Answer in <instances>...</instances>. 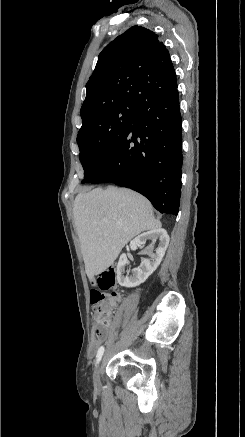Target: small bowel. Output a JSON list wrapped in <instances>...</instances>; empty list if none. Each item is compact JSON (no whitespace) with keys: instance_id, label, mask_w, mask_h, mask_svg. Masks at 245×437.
Returning a JSON list of instances; mask_svg holds the SVG:
<instances>
[{"instance_id":"obj_1","label":"small bowel","mask_w":245,"mask_h":437,"mask_svg":"<svg viewBox=\"0 0 245 437\" xmlns=\"http://www.w3.org/2000/svg\"><path fill=\"white\" fill-rule=\"evenodd\" d=\"M106 337H107V334L104 337H102V338H96V337L93 336L92 346L96 347Z\"/></svg>"}]
</instances>
